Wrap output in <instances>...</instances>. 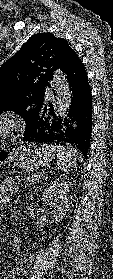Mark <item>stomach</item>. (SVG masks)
Returning a JSON list of instances; mask_svg holds the SVG:
<instances>
[{"label":"stomach","mask_w":113,"mask_h":279,"mask_svg":"<svg viewBox=\"0 0 113 279\" xmlns=\"http://www.w3.org/2000/svg\"><path fill=\"white\" fill-rule=\"evenodd\" d=\"M51 160V153L37 144L20 145L13 148L7 155L6 162L13 166L33 171L47 164Z\"/></svg>","instance_id":"obj_1"}]
</instances>
